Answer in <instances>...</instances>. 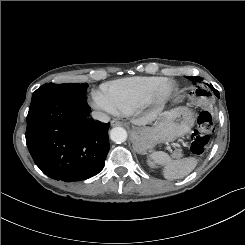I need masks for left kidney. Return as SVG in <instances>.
<instances>
[{"label":"left kidney","mask_w":245,"mask_h":245,"mask_svg":"<svg viewBox=\"0 0 245 245\" xmlns=\"http://www.w3.org/2000/svg\"><path fill=\"white\" fill-rule=\"evenodd\" d=\"M148 164L150 165V167H152V168H154L155 167V165L152 163V162H150V161H148Z\"/></svg>","instance_id":"1"}]
</instances>
